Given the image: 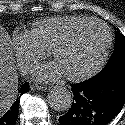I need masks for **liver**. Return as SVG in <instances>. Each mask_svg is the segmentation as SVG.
<instances>
[{"instance_id":"6515ba94","label":"liver","mask_w":125,"mask_h":125,"mask_svg":"<svg viewBox=\"0 0 125 125\" xmlns=\"http://www.w3.org/2000/svg\"><path fill=\"white\" fill-rule=\"evenodd\" d=\"M11 38L0 25V115L15 100L18 89V74L11 55Z\"/></svg>"}]
</instances>
